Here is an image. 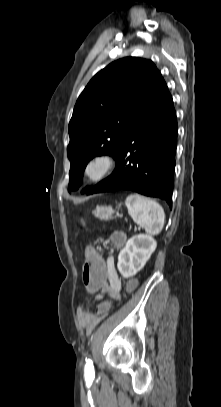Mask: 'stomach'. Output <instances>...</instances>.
I'll use <instances>...</instances> for the list:
<instances>
[{
  "label": "stomach",
  "instance_id": "0dacf381",
  "mask_svg": "<svg viewBox=\"0 0 221 407\" xmlns=\"http://www.w3.org/2000/svg\"><path fill=\"white\" fill-rule=\"evenodd\" d=\"M93 214L100 220L107 221L113 218L114 210L111 206H97Z\"/></svg>",
  "mask_w": 221,
  "mask_h": 407
}]
</instances>
